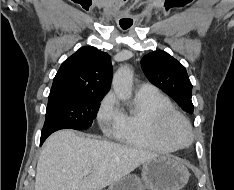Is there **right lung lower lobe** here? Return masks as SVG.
Returning <instances> with one entry per match:
<instances>
[{
    "label": "right lung lower lobe",
    "mask_w": 234,
    "mask_h": 190,
    "mask_svg": "<svg viewBox=\"0 0 234 190\" xmlns=\"http://www.w3.org/2000/svg\"><path fill=\"white\" fill-rule=\"evenodd\" d=\"M47 138V137H46ZM45 137H41V144L44 142V140L46 139Z\"/></svg>",
    "instance_id": "obj_1"
}]
</instances>
